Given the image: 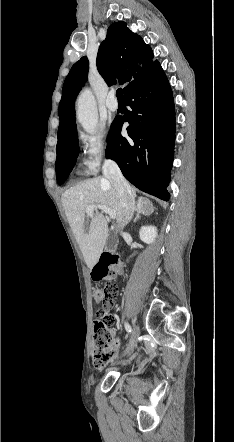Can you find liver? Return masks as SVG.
<instances>
[{
  "instance_id": "obj_1",
  "label": "liver",
  "mask_w": 234,
  "mask_h": 442,
  "mask_svg": "<svg viewBox=\"0 0 234 442\" xmlns=\"http://www.w3.org/2000/svg\"><path fill=\"white\" fill-rule=\"evenodd\" d=\"M134 196L135 189L130 187ZM62 205L89 269L98 262L108 238V225L103 214L86 215L91 204H102L116 213L117 223L123 220L121 197L107 177H95L66 190L61 197ZM150 204V203H146ZM88 216L91 217L89 222Z\"/></svg>"
}]
</instances>
